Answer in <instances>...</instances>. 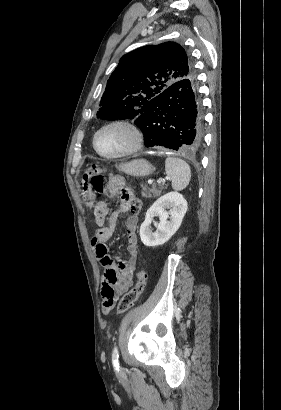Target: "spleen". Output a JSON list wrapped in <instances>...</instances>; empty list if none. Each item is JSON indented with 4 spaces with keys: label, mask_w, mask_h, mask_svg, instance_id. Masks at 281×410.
Segmentation results:
<instances>
[{
    "label": "spleen",
    "mask_w": 281,
    "mask_h": 410,
    "mask_svg": "<svg viewBox=\"0 0 281 410\" xmlns=\"http://www.w3.org/2000/svg\"><path fill=\"white\" fill-rule=\"evenodd\" d=\"M165 172L172 182L174 190H183L191 179L190 166L182 159L167 157L165 160Z\"/></svg>",
    "instance_id": "1"
}]
</instances>
